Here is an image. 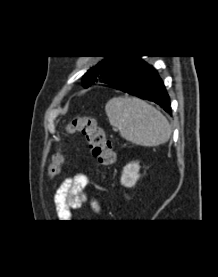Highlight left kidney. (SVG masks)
Instances as JSON below:
<instances>
[{
  "label": "left kidney",
  "instance_id": "left-kidney-1",
  "mask_svg": "<svg viewBox=\"0 0 218 277\" xmlns=\"http://www.w3.org/2000/svg\"><path fill=\"white\" fill-rule=\"evenodd\" d=\"M139 169L138 163H129L123 168L121 176V184L125 187H134L137 180L139 179Z\"/></svg>",
  "mask_w": 218,
  "mask_h": 277
}]
</instances>
